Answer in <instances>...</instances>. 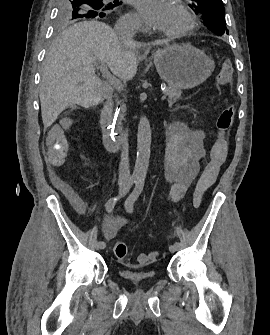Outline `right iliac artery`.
<instances>
[{"label":"right iliac artery","instance_id":"right-iliac-artery-1","mask_svg":"<svg viewBox=\"0 0 270 335\" xmlns=\"http://www.w3.org/2000/svg\"><path fill=\"white\" fill-rule=\"evenodd\" d=\"M135 181L134 180H130L129 182V187L133 185ZM124 194V193H123ZM123 194H120L118 196H115V197H112L110 198L105 207H106V210L108 213H111L116 205V203L118 202V200L123 196ZM99 246H100V249H104L106 247V243L104 241H100L99 242Z\"/></svg>","mask_w":270,"mask_h":335}]
</instances>
